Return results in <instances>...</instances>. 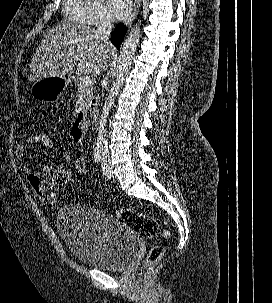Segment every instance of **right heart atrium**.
<instances>
[{
  "instance_id": "obj_1",
  "label": "right heart atrium",
  "mask_w": 272,
  "mask_h": 303,
  "mask_svg": "<svg viewBox=\"0 0 272 303\" xmlns=\"http://www.w3.org/2000/svg\"><path fill=\"white\" fill-rule=\"evenodd\" d=\"M90 9V24H106L110 16L105 6L99 0H88Z\"/></svg>"
}]
</instances>
